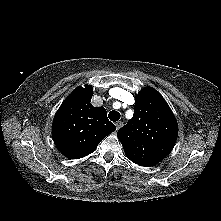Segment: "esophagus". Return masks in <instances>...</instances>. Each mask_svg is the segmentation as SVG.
I'll return each mask as SVG.
<instances>
[{
    "instance_id": "obj_1",
    "label": "esophagus",
    "mask_w": 221,
    "mask_h": 221,
    "mask_svg": "<svg viewBox=\"0 0 221 221\" xmlns=\"http://www.w3.org/2000/svg\"><path fill=\"white\" fill-rule=\"evenodd\" d=\"M116 129H117V131L123 126V122L122 121H119V122H117L116 124Z\"/></svg>"
}]
</instances>
